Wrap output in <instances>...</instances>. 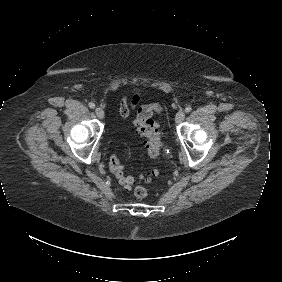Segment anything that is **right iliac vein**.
Wrapping results in <instances>:
<instances>
[{
  "label": "right iliac vein",
  "instance_id": "63e3f726",
  "mask_svg": "<svg viewBox=\"0 0 282 282\" xmlns=\"http://www.w3.org/2000/svg\"><path fill=\"white\" fill-rule=\"evenodd\" d=\"M95 113L98 118L103 119L104 118V111L101 107H96Z\"/></svg>",
  "mask_w": 282,
  "mask_h": 282
}]
</instances>
